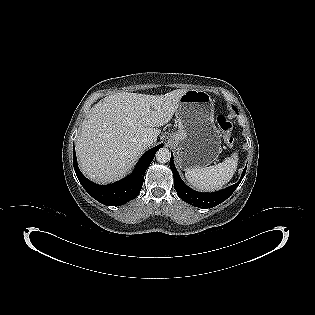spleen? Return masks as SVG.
<instances>
[{
	"mask_svg": "<svg viewBox=\"0 0 315 315\" xmlns=\"http://www.w3.org/2000/svg\"><path fill=\"white\" fill-rule=\"evenodd\" d=\"M237 162L238 155L234 153L217 165L187 169L185 177L193 187L199 190L215 191L230 181L237 169Z\"/></svg>",
	"mask_w": 315,
	"mask_h": 315,
	"instance_id": "spleen-1",
	"label": "spleen"
}]
</instances>
